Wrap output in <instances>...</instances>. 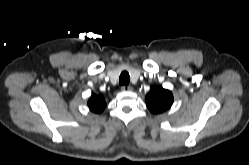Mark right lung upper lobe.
<instances>
[{
  "mask_svg": "<svg viewBox=\"0 0 249 165\" xmlns=\"http://www.w3.org/2000/svg\"><path fill=\"white\" fill-rule=\"evenodd\" d=\"M88 106L91 111L101 113L106 107V102L102 95L93 94L88 101Z\"/></svg>",
  "mask_w": 249,
  "mask_h": 165,
  "instance_id": "right-lung-upper-lobe-1",
  "label": "right lung upper lobe"
}]
</instances>
